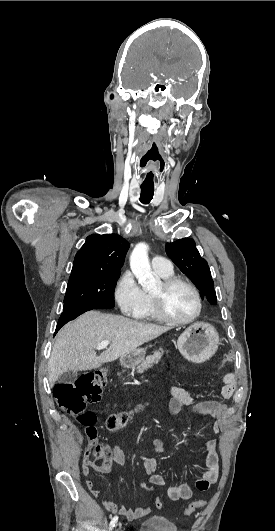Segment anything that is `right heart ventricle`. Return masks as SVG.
Here are the masks:
<instances>
[{"label":"right heart ventricle","mask_w":275,"mask_h":531,"mask_svg":"<svg viewBox=\"0 0 275 531\" xmlns=\"http://www.w3.org/2000/svg\"><path fill=\"white\" fill-rule=\"evenodd\" d=\"M159 274L164 278V277L171 276L172 272L171 273H159ZM146 294H147L146 307L143 310V312L137 316V318L148 320V321L158 320L159 317L157 316L155 312L152 296L150 293H146Z\"/></svg>","instance_id":"e07e8e85"}]
</instances>
